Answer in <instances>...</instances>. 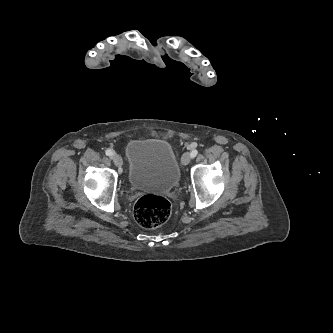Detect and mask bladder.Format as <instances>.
Returning <instances> with one entry per match:
<instances>
[{"label":"bladder","mask_w":333,"mask_h":333,"mask_svg":"<svg viewBox=\"0 0 333 333\" xmlns=\"http://www.w3.org/2000/svg\"><path fill=\"white\" fill-rule=\"evenodd\" d=\"M128 180L141 191L165 193L180 180L172 146L162 139L133 140L126 147Z\"/></svg>","instance_id":"obj_1"}]
</instances>
